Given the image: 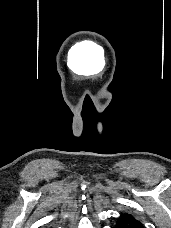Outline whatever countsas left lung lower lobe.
Listing matches in <instances>:
<instances>
[{
    "mask_svg": "<svg viewBox=\"0 0 171 228\" xmlns=\"http://www.w3.org/2000/svg\"><path fill=\"white\" fill-rule=\"evenodd\" d=\"M114 228H144V226L135 218L125 217L118 219Z\"/></svg>",
    "mask_w": 171,
    "mask_h": 228,
    "instance_id": "left-lung-lower-lobe-1",
    "label": "left lung lower lobe"
}]
</instances>
